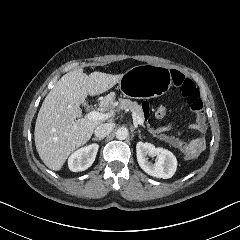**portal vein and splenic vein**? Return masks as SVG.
Segmentation results:
<instances>
[{"label": "portal vein and splenic vein", "instance_id": "18ae733b", "mask_svg": "<svg viewBox=\"0 0 240 240\" xmlns=\"http://www.w3.org/2000/svg\"><path fill=\"white\" fill-rule=\"evenodd\" d=\"M133 116V121H135L139 126L144 123V121L140 118H138L134 113L132 114ZM87 119L92 120V121H98V120H103L106 117V114L100 113L98 111H91L86 115Z\"/></svg>", "mask_w": 240, "mask_h": 240}]
</instances>
